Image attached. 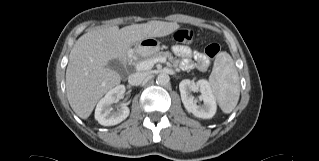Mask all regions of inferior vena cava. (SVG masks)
I'll return each instance as SVG.
<instances>
[{"mask_svg":"<svg viewBox=\"0 0 319 161\" xmlns=\"http://www.w3.org/2000/svg\"><path fill=\"white\" fill-rule=\"evenodd\" d=\"M147 77L145 72H136L128 77V82L131 85H140Z\"/></svg>","mask_w":319,"mask_h":161,"instance_id":"inferior-vena-cava-1","label":"inferior vena cava"}]
</instances>
